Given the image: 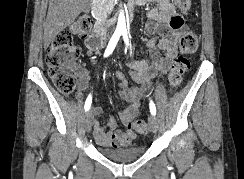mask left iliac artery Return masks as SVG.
Returning <instances> with one entry per match:
<instances>
[{"mask_svg": "<svg viewBox=\"0 0 244 179\" xmlns=\"http://www.w3.org/2000/svg\"><path fill=\"white\" fill-rule=\"evenodd\" d=\"M122 35H123V39H124V42L126 44V46L128 47L129 46V38H128V33L126 30L122 31ZM150 112L152 115H156V107H155V104L153 103V101L151 100L150 101Z\"/></svg>", "mask_w": 244, "mask_h": 179, "instance_id": "left-iliac-artery-1", "label": "left iliac artery"}]
</instances>
